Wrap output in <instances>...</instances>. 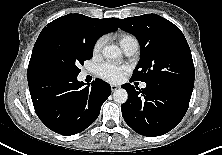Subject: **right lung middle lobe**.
Listing matches in <instances>:
<instances>
[{
    "label": "right lung middle lobe",
    "instance_id": "obj_1",
    "mask_svg": "<svg viewBox=\"0 0 222 155\" xmlns=\"http://www.w3.org/2000/svg\"><path fill=\"white\" fill-rule=\"evenodd\" d=\"M98 37L87 25L63 24L45 32L34 46L42 68L55 78H76L92 58Z\"/></svg>",
    "mask_w": 222,
    "mask_h": 155
}]
</instances>
